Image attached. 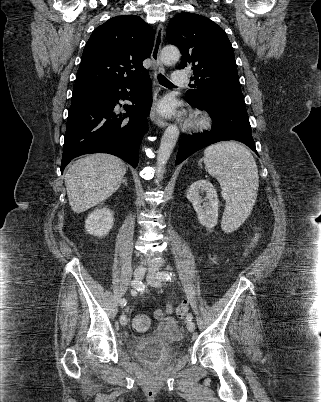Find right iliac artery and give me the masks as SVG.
Here are the masks:
<instances>
[{"mask_svg":"<svg viewBox=\"0 0 321 402\" xmlns=\"http://www.w3.org/2000/svg\"><path fill=\"white\" fill-rule=\"evenodd\" d=\"M132 286H133V288H134V289L131 291V294H132V295L137 294L136 291H142L141 282L133 281V282H132ZM126 304H127V300H126L125 298H123V299L120 300V305H121V307H124Z\"/></svg>","mask_w":321,"mask_h":402,"instance_id":"82829eb1","label":"right iliac artery"}]
</instances>
